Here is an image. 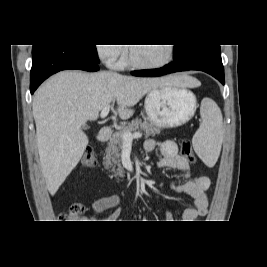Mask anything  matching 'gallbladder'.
I'll return each mask as SVG.
<instances>
[{"mask_svg": "<svg viewBox=\"0 0 267 267\" xmlns=\"http://www.w3.org/2000/svg\"><path fill=\"white\" fill-rule=\"evenodd\" d=\"M82 128H83L84 130H87L89 127H88L87 125H84Z\"/></svg>", "mask_w": 267, "mask_h": 267, "instance_id": "gallbladder-1", "label": "gallbladder"}]
</instances>
